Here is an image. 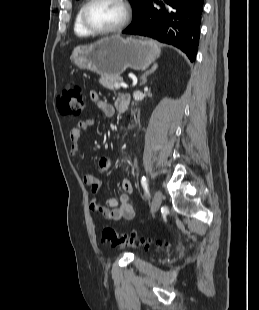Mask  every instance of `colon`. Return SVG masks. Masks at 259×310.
<instances>
[{
  "label": "colon",
  "instance_id": "colon-1",
  "mask_svg": "<svg viewBox=\"0 0 259 310\" xmlns=\"http://www.w3.org/2000/svg\"><path fill=\"white\" fill-rule=\"evenodd\" d=\"M57 107L64 115L80 116L84 110V93L77 84H68L57 96ZM102 240L113 247H133L146 249L149 243L136 234H123L111 227L102 230Z\"/></svg>",
  "mask_w": 259,
  "mask_h": 310
}]
</instances>
